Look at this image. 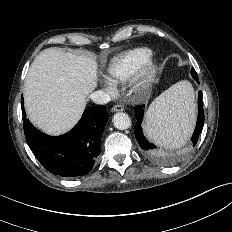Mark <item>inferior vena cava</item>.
Listing matches in <instances>:
<instances>
[{
	"label": "inferior vena cava",
	"mask_w": 232,
	"mask_h": 232,
	"mask_svg": "<svg viewBox=\"0 0 232 232\" xmlns=\"http://www.w3.org/2000/svg\"><path fill=\"white\" fill-rule=\"evenodd\" d=\"M90 98L96 104H106L111 100L109 94L103 90L91 93Z\"/></svg>",
	"instance_id": "602c4592"
}]
</instances>
